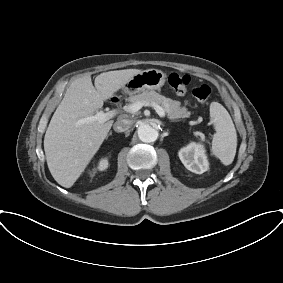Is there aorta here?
Returning a JSON list of instances; mask_svg holds the SVG:
<instances>
[{"instance_id":"obj_1","label":"aorta","mask_w":283,"mask_h":283,"mask_svg":"<svg viewBox=\"0 0 283 283\" xmlns=\"http://www.w3.org/2000/svg\"><path fill=\"white\" fill-rule=\"evenodd\" d=\"M138 137L142 142L151 143L157 140L158 131L156 127L149 124H142L137 130Z\"/></svg>"}]
</instances>
